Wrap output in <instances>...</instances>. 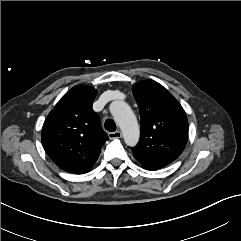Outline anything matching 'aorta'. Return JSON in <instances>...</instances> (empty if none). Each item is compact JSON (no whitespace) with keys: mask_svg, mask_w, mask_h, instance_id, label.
Here are the masks:
<instances>
[{"mask_svg":"<svg viewBox=\"0 0 241 241\" xmlns=\"http://www.w3.org/2000/svg\"><path fill=\"white\" fill-rule=\"evenodd\" d=\"M110 111L123 133L125 143L128 146H135L139 141L140 130L130 106L124 101H113Z\"/></svg>","mask_w":241,"mask_h":241,"instance_id":"obj_1","label":"aorta"}]
</instances>
